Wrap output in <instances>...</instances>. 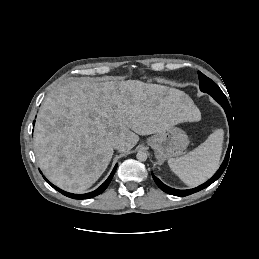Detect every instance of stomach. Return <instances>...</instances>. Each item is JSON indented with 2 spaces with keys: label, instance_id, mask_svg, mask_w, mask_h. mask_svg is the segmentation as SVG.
I'll return each instance as SVG.
<instances>
[{
  "label": "stomach",
  "instance_id": "obj_1",
  "mask_svg": "<svg viewBox=\"0 0 259 259\" xmlns=\"http://www.w3.org/2000/svg\"><path fill=\"white\" fill-rule=\"evenodd\" d=\"M147 144L155 151L158 160L177 157L183 153L189 144L186 133L175 126H171L147 139Z\"/></svg>",
  "mask_w": 259,
  "mask_h": 259
}]
</instances>
